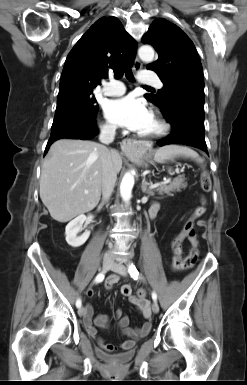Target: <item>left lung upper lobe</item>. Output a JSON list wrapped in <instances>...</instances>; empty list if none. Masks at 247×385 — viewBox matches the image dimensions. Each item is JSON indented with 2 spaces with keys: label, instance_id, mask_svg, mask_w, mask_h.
<instances>
[{
  "label": "left lung upper lobe",
  "instance_id": "obj_1",
  "mask_svg": "<svg viewBox=\"0 0 247 385\" xmlns=\"http://www.w3.org/2000/svg\"><path fill=\"white\" fill-rule=\"evenodd\" d=\"M159 54L147 66L161 79L164 87L157 95L145 94L164 115L180 103L204 109V78L198 52L190 38L175 24L159 18L142 38Z\"/></svg>",
  "mask_w": 247,
  "mask_h": 385
}]
</instances>
